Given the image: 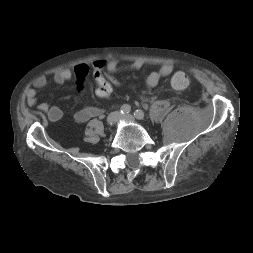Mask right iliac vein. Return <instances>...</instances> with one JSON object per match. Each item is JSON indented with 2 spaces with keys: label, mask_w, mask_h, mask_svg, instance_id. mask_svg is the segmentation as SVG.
<instances>
[{
  "label": "right iliac vein",
  "mask_w": 253,
  "mask_h": 253,
  "mask_svg": "<svg viewBox=\"0 0 253 253\" xmlns=\"http://www.w3.org/2000/svg\"><path fill=\"white\" fill-rule=\"evenodd\" d=\"M121 117L119 112H111L107 117L108 126L114 125L115 122Z\"/></svg>",
  "instance_id": "obj_1"
}]
</instances>
